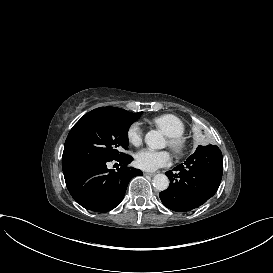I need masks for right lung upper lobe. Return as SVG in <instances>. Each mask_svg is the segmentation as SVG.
Instances as JSON below:
<instances>
[{
    "instance_id": "cb5924a9",
    "label": "right lung upper lobe",
    "mask_w": 273,
    "mask_h": 273,
    "mask_svg": "<svg viewBox=\"0 0 273 273\" xmlns=\"http://www.w3.org/2000/svg\"><path fill=\"white\" fill-rule=\"evenodd\" d=\"M97 110H101L104 112L115 114V115H117L125 120L131 121V122H134L137 119H139L140 115L142 114V112L130 113L124 109H120V108H116V107H100V108H97Z\"/></svg>"
}]
</instances>
